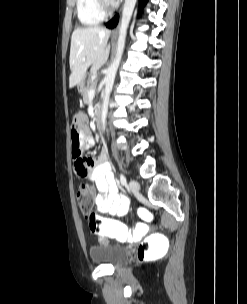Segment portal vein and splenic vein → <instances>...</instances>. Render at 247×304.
<instances>
[{"label":"portal vein and splenic vein","instance_id":"portal-vein-and-splenic-vein-1","mask_svg":"<svg viewBox=\"0 0 247 304\" xmlns=\"http://www.w3.org/2000/svg\"><path fill=\"white\" fill-rule=\"evenodd\" d=\"M83 60H85V59H83ZM88 96H89V97L95 96V89H91V90L88 92Z\"/></svg>","mask_w":247,"mask_h":304}]
</instances>
